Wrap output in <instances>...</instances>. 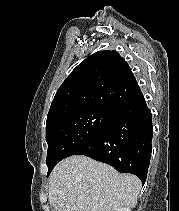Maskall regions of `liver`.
I'll use <instances>...</instances> for the list:
<instances>
[{
  "mask_svg": "<svg viewBox=\"0 0 179 211\" xmlns=\"http://www.w3.org/2000/svg\"><path fill=\"white\" fill-rule=\"evenodd\" d=\"M141 187L135 175L74 155L53 169L48 198L55 211H116L135 207Z\"/></svg>",
  "mask_w": 179,
  "mask_h": 211,
  "instance_id": "liver-1",
  "label": "liver"
}]
</instances>
